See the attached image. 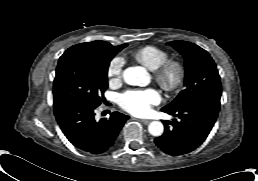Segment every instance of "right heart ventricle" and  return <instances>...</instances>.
I'll list each match as a JSON object with an SVG mask.
<instances>
[{
    "instance_id": "1",
    "label": "right heart ventricle",
    "mask_w": 258,
    "mask_h": 181,
    "mask_svg": "<svg viewBox=\"0 0 258 181\" xmlns=\"http://www.w3.org/2000/svg\"><path fill=\"white\" fill-rule=\"evenodd\" d=\"M168 53L156 46L147 45L134 53V58L150 70H155L168 59Z\"/></svg>"
}]
</instances>
